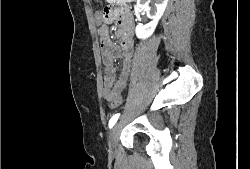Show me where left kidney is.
I'll return each mask as SVG.
<instances>
[{
	"label": "left kidney",
	"instance_id": "5707ae66",
	"mask_svg": "<svg viewBox=\"0 0 250 169\" xmlns=\"http://www.w3.org/2000/svg\"><path fill=\"white\" fill-rule=\"evenodd\" d=\"M150 2H154L153 6H150ZM168 0H137V6L140 10H145L148 18H152L147 24H137L135 28L136 36L138 38H148L153 34L158 20H160Z\"/></svg>",
	"mask_w": 250,
	"mask_h": 169
}]
</instances>
